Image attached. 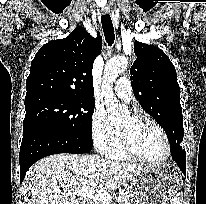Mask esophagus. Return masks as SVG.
<instances>
[{
	"label": "esophagus",
	"instance_id": "34e87169",
	"mask_svg": "<svg viewBox=\"0 0 206 204\" xmlns=\"http://www.w3.org/2000/svg\"><path fill=\"white\" fill-rule=\"evenodd\" d=\"M108 13V11H103V14H107Z\"/></svg>",
	"mask_w": 206,
	"mask_h": 204
}]
</instances>
